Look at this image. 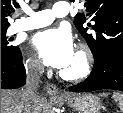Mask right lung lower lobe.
Masks as SVG:
<instances>
[{
  "instance_id": "right-lung-lower-lobe-1",
  "label": "right lung lower lobe",
  "mask_w": 123,
  "mask_h": 113,
  "mask_svg": "<svg viewBox=\"0 0 123 113\" xmlns=\"http://www.w3.org/2000/svg\"><path fill=\"white\" fill-rule=\"evenodd\" d=\"M26 82L22 55L13 58L1 57V89L19 88Z\"/></svg>"
}]
</instances>
